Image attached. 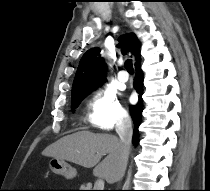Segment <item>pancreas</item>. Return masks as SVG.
<instances>
[{"instance_id": "1", "label": "pancreas", "mask_w": 210, "mask_h": 191, "mask_svg": "<svg viewBox=\"0 0 210 191\" xmlns=\"http://www.w3.org/2000/svg\"><path fill=\"white\" fill-rule=\"evenodd\" d=\"M83 188H81V189H91V184H87V186H82ZM84 187H86V188H84Z\"/></svg>"}]
</instances>
